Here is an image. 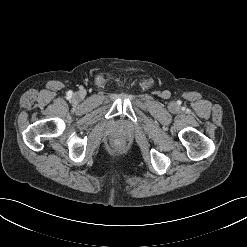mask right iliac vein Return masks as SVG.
I'll return each instance as SVG.
<instances>
[{
    "label": "right iliac vein",
    "instance_id": "obj_1",
    "mask_svg": "<svg viewBox=\"0 0 247 247\" xmlns=\"http://www.w3.org/2000/svg\"><path fill=\"white\" fill-rule=\"evenodd\" d=\"M74 98H75V99H79V98H80V95H79V94H75V95H74Z\"/></svg>",
    "mask_w": 247,
    "mask_h": 247
}]
</instances>
